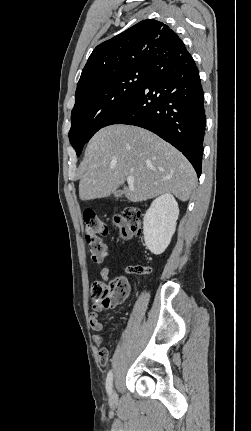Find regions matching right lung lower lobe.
<instances>
[{
    "label": "right lung lower lobe",
    "instance_id": "right-lung-lower-lobe-1",
    "mask_svg": "<svg viewBox=\"0 0 251 431\" xmlns=\"http://www.w3.org/2000/svg\"><path fill=\"white\" fill-rule=\"evenodd\" d=\"M112 124L135 125L154 132L181 151L201 175L204 95L198 69L185 46L150 62L140 89L105 126Z\"/></svg>",
    "mask_w": 251,
    "mask_h": 431
}]
</instances>
